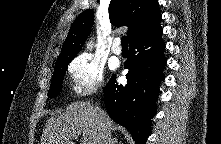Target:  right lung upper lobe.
Listing matches in <instances>:
<instances>
[{"mask_svg":"<svg viewBox=\"0 0 221 144\" xmlns=\"http://www.w3.org/2000/svg\"><path fill=\"white\" fill-rule=\"evenodd\" d=\"M93 10L82 12L73 23L56 65L70 63L84 45L93 25ZM109 17L116 27L127 26L129 42L159 24L158 0H111Z\"/></svg>","mask_w":221,"mask_h":144,"instance_id":"right-lung-upper-lobe-1","label":"right lung upper lobe"}]
</instances>
